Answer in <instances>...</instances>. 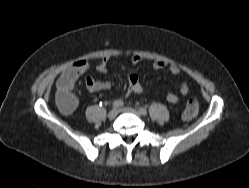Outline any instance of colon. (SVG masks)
<instances>
[{
    "instance_id": "1",
    "label": "colon",
    "mask_w": 249,
    "mask_h": 188,
    "mask_svg": "<svg viewBox=\"0 0 249 188\" xmlns=\"http://www.w3.org/2000/svg\"><path fill=\"white\" fill-rule=\"evenodd\" d=\"M56 102L64 113H71L76 107L77 101L71 91L64 88L57 89ZM198 114V102L196 99L190 98L187 100L184 111L183 119L190 121Z\"/></svg>"
}]
</instances>
